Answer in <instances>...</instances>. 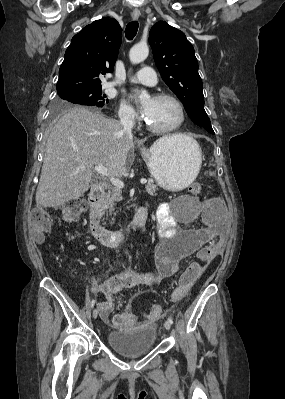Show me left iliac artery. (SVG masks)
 I'll list each match as a JSON object with an SVG mask.
<instances>
[{"instance_id": "left-iliac-artery-1", "label": "left iliac artery", "mask_w": 285, "mask_h": 399, "mask_svg": "<svg viewBox=\"0 0 285 399\" xmlns=\"http://www.w3.org/2000/svg\"><path fill=\"white\" fill-rule=\"evenodd\" d=\"M168 321L173 324V319L171 317L168 318Z\"/></svg>"}]
</instances>
